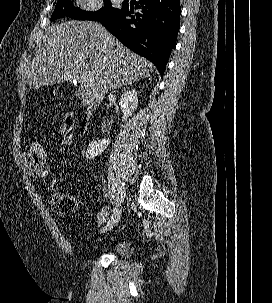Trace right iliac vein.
Returning a JSON list of instances; mask_svg holds the SVG:
<instances>
[{"mask_svg":"<svg viewBox=\"0 0 272 303\" xmlns=\"http://www.w3.org/2000/svg\"><path fill=\"white\" fill-rule=\"evenodd\" d=\"M117 215H115L114 220L113 221H109V223L104 227V229L101 231L102 233H104L105 231H110L112 230L117 223L120 221L121 218V209L117 208Z\"/></svg>","mask_w":272,"mask_h":303,"instance_id":"1","label":"right iliac vein"}]
</instances>
